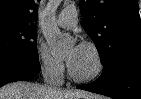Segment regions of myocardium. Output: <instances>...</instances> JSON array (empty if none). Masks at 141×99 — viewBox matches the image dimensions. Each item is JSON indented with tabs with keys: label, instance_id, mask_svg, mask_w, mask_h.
<instances>
[{
	"label": "myocardium",
	"instance_id": "1",
	"mask_svg": "<svg viewBox=\"0 0 141 99\" xmlns=\"http://www.w3.org/2000/svg\"><path fill=\"white\" fill-rule=\"evenodd\" d=\"M81 46L85 47L92 53L95 60V69L89 75L79 76L72 70L71 66L68 65V73L75 82L88 83L96 80L102 74L104 69V62L99 49L94 44L90 42H83Z\"/></svg>",
	"mask_w": 141,
	"mask_h": 99
}]
</instances>
